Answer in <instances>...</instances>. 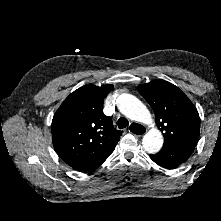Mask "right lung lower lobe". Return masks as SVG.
Instances as JSON below:
<instances>
[{"instance_id": "98d812e1", "label": "right lung lower lobe", "mask_w": 221, "mask_h": 221, "mask_svg": "<svg viewBox=\"0 0 221 221\" xmlns=\"http://www.w3.org/2000/svg\"><path fill=\"white\" fill-rule=\"evenodd\" d=\"M104 161H105V159L96 160V161H92V162L77 165L76 167H73V168L76 169V170H79V171H89V172H91V171L95 170L96 168H98Z\"/></svg>"}]
</instances>
